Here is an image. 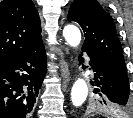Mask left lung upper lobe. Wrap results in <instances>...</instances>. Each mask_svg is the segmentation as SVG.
Segmentation results:
<instances>
[{"label": "left lung upper lobe", "mask_w": 133, "mask_h": 118, "mask_svg": "<svg viewBox=\"0 0 133 118\" xmlns=\"http://www.w3.org/2000/svg\"><path fill=\"white\" fill-rule=\"evenodd\" d=\"M67 19L79 23L82 27L85 34L82 48L96 50L127 72L113 19L96 0H75L69 9ZM98 102L103 109L115 108L105 100L98 99Z\"/></svg>", "instance_id": "1"}]
</instances>
